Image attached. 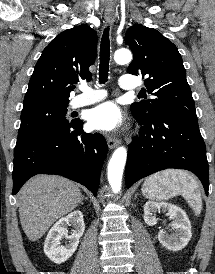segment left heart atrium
Masks as SVG:
<instances>
[{
	"label": "left heart atrium",
	"mask_w": 215,
	"mask_h": 274,
	"mask_svg": "<svg viewBox=\"0 0 215 274\" xmlns=\"http://www.w3.org/2000/svg\"><path fill=\"white\" fill-rule=\"evenodd\" d=\"M88 123L92 129L114 132L121 128L123 115L114 102H105L89 112Z\"/></svg>",
	"instance_id": "39dd6f15"
}]
</instances>
